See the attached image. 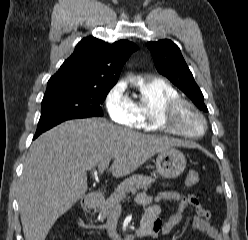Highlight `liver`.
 I'll return each mask as SVG.
<instances>
[{"instance_id": "obj_1", "label": "liver", "mask_w": 248, "mask_h": 240, "mask_svg": "<svg viewBox=\"0 0 248 240\" xmlns=\"http://www.w3.org/2000/svg\"><path fill=\"white\" fill-rule=\"evenodd\" d=\"M184 145L97 118L69 120L47 131L30 147L21 178L25 239L45 240L56 220L85 196L88 170L114 159L112 175L124 177L155 154Z\"/></svg>"}]
</instances>
